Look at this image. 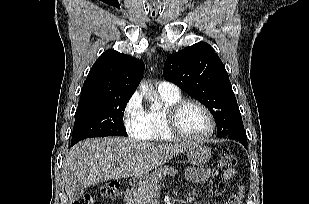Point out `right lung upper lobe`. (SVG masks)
Here are the masks:
<instances>
[{
    "label": "right lung upper lobe",
    "mask_w": 309,
    "mask_h": 204,
    "mask_svg": "<svg viewBox=\"0 0 309 204\" xmlns=\"http://www.w3.org/2000/svg\"><path fill=\"white\" fill-rule=\"evenodd\" d=\"M144 68L139 59L114 50L105 51L92 66L79 103L107 97H131Z\"/></svg>",
    "instance_id": "obj_1"
}]
</instances>
